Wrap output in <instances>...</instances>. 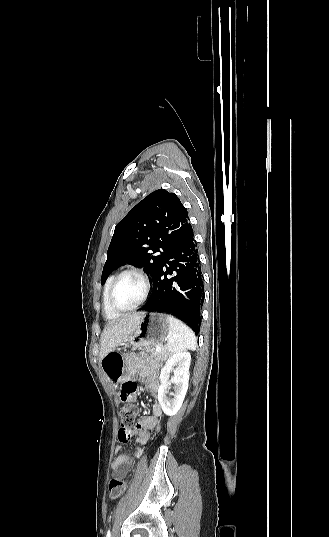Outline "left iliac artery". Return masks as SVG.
<instances>
[{"label":"left iliac artery","instance_id":"44dca946","mask_svg":"<svg viewBox=\"0 0 329 537\" xmlns=\"http://www.w3.org/2000/svg\"><path fill=\"white\" fill-rule=\"evenodd\" d=\"M106 537H111V532H110V530L107 531V535H106Z\"/></svg>","mask_w":329,"mask_h":537}]
</instances>
